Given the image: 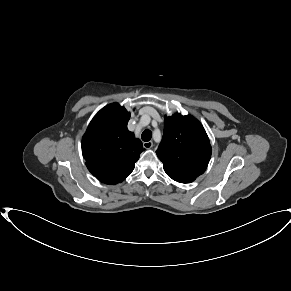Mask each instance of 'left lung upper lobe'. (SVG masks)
<instances>
[{
  "label": "left lung upper lobe",
  "instance_id": "5c2ea615",
  "mask_svg": "<svg viewBox=\"0 0 291 291\" xmlns=\"http://www.w3.org/2000/svg\"><path fill=\"white\" fill-rule=\"evenodd\" d=\"M156 153L170 178L190 183L205 172L211 146L198 120L176 113L165 118L163 138Z\"/></svg>",
  "mask_w": 291,
  "mask_h": 291
}]
</instances>
